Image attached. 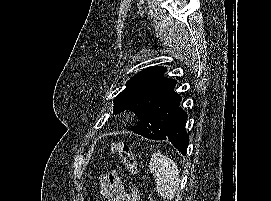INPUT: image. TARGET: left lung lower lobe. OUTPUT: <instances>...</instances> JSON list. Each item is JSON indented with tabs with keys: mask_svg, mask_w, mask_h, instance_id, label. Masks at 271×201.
Here are the masks:
<instances>
[{
	"mask_svg": "<svg viewBox=\"0 0 271 201\" xmlns=\"http://www.w3.org/2000/svg\"><path fill=\"white\" fill-rule=\"evenodd\" d=\"M180 101L181 97L179 96V99L174 107L167 132L160 140H169L175 146V148L179 150V152L186 155L187 146L189 143V138L185 131L187 113L180 108ZM130 130L140 135L142 128L136 124L132 126Z\"/></svg>",
	"mask_w": 271,
	"mask_h": 201,
	"instance_id": "left-lung-lower-lobe-1",
	"label": "left lung lower lobe"
}]
</instances>
